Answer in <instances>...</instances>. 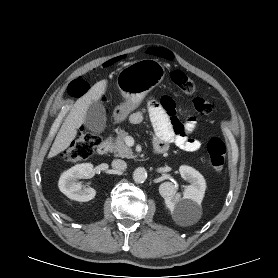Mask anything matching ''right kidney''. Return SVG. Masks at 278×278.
Returning <instances> with one entry per match:
<instances>
[{
    "label": "right kidney",
    "mask_w": 278,
    "mask_h": 278,
    "mask_svg": "<svg viewBox=\"0 0 278 278\" xmlns=\"http://www.w3.org/2000/svg\"><path fill=\"white\" fill-rule=\"evenodd\" d=\"M93 170L91 163L77 164L60 176L58 187L68 198L75 201L86 202L92 200L96 191L93 188H83L77 179L88 177Z\"/></svg>",
    "instance_id": "obj_1"
}]
</instances>
